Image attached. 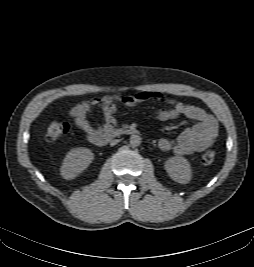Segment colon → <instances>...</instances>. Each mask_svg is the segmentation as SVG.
Listing matches in <instances>:
<instances>
[{"instance_id": "colon-1", "label": "colon", "mask_w": 254, "mask_h": 267, "mask_svg": "<svg viewBox=\"0 0 254 267\" xmlns=\"http://www.w3.org/2000/svg\"><path fill=\"white\" fill-rule=\"evenodd\" d=\"M70 129V125L67 122H53L47 130L45 137L48 141H55L64 136ZM215 160V154L212 151H207L201 157V162L204 165H211Z\"/></svg>"}]
</instances>
